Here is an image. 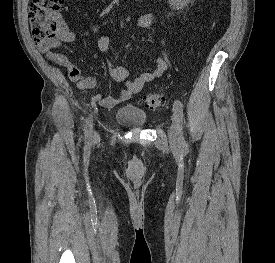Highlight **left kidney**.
Listing matches in <instances>:
<instances>
[{
  "instance_id": "obj_1",
  "label": "left kidney",
  "mask_w": 275,
  "mask_h": 263,
  "mask_svg": "<svg viewBox=\"0 0 275 263\" xmlns=\"http://www.w3.org/2000/svg\"><path fill=\"white\" fill-rule=\"evenodd\" d=\"M189 2L190 0H168L170 7L177 10L183 9Z\"/></svg>"
}]
</instances>
